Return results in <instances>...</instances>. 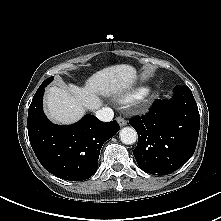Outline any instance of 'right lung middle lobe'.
I'll return each mask as SVG.
<instances>
[{
  "instance_id": "1",
  "label": "right lung middle lobe",
  "mask_w": 221,
  "mask_h": 221,
  "mask_svg": "<svg viewBox=\"0 0 221 221\" xmlns=\"http://www.w3.org/2000/svg\"><path fill=\"white\" fill-rule=\"evenodd\" d=\"M52 80H53V77H50V78L46 79L44 82H45L46 84H48V83H50Z\"/></svg>"
}]
</instances>
